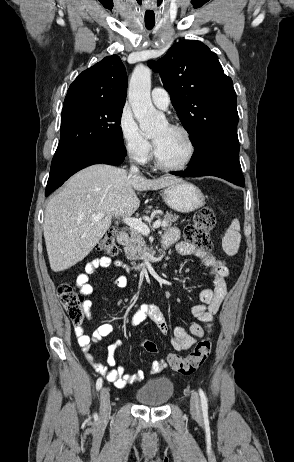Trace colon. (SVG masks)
<instances>
[{"label":"colon","mask_w":294,"mask_h":462,"mask_svg":"<svg viewBox=\"0 0 294 462\" xmlns=\"http://www.w3.org/2000/svg\"><path fill=\"white\" fill-rule=\"evenodd\" d=\"M216 224L214 211L205 206L199 209L193 216L192 222L185 228V239L202 255L203 262L212 257L213 245L210 240V231ZM117 230L110 228L105 236L97 244V250L107 255L114 256L117 253L115 236ZM57 295L66 310L71 322L80 326L84 320V298L69 282H63L57 289ZM210 328V324H207ZM143 349L150 353L157 351L156 345L149 340L141 343ZM212 350V341L209 337L201 339L194 349L185 357L170 355L167 359L168 366L183 375H191L196 372L207 360ZM166 364V363H165Z\"/></svg>","instance_id":"1"}]
</instances>
